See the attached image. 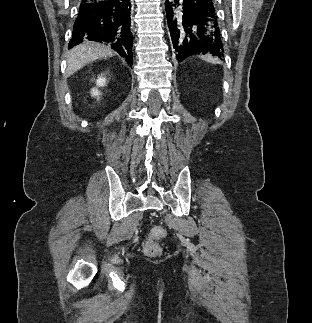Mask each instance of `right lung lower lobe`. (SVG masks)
<instances>
[{"label": "right lung lower lobe", "mask_w": 312, "mask_h": 323, "mask_svg": "<svg viewBox=\"0 0 312 323\" xmlns=\"http://www.w3.org/2000/svg\"><path fill=\"white\" fill-rule=\"evenodd\" d=\"M130 0H81L69 48L84 39L110 45L132 65Z\"/></svg>", "instance_id": "right-lung-lower-lobe-1"}]
</instances>
